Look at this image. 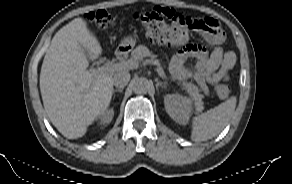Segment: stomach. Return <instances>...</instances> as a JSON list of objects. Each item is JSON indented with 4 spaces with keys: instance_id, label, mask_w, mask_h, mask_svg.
Instances as JSON below:
<instances>
[{
    "instance_id": "stomach-1",
    "label": "stomach",
    "mask_w": 292,
    "mask_h": 184,
    "mask_svg": "<svg viewBox=\"0 0 292 184\" xmlns=\"http://www.w3.org/2000/svg\"><path fill=\"white\" fill-rule=\"evenodd\" d=\"M136 40L133 36H125L120 44L119 47L120 48H133L135 46Z\"/></svg>"
}]
</instances>
